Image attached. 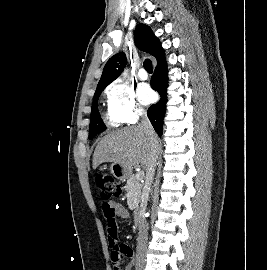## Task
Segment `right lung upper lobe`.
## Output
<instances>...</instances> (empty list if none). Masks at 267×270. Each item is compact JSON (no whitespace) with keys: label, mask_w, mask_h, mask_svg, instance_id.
Here are the masks:
<instances>
[{"label":"right lung upper lobe","mask_w":267,"mask_h":270,"mask_svg":"<svg viewBox=\"0 0 267 270\" xmlns=\"http://www.w3.org/2000/svg\"><path fill=\"white\" fill-rule=\"evenodd\" d=\"M136 46L154 56L157 60L164 54L160 41L153 34L151 28L145 24H138L135 29ZM126 65V55L123 52L112 56L106 63L96 92L103 91L123 71Z\"/></svg>","instance_id":"right-lung-upper-lobe-1"}]
</instances>
